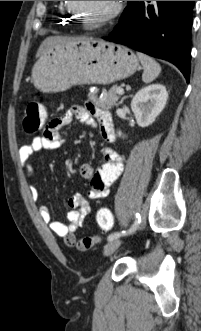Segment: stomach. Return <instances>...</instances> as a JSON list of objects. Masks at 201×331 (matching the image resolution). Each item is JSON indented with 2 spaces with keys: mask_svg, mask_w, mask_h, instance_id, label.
Returning a JSON list of instances; mask_svg holds the SVG:
<instances>
[{
  "mask_svg": "<svg viewBox=\"0 0 201 331\" xmlns=\"http://www.w3.org/2000/svg\"><path fill=\"white\" fill-rule=\"evenodd\" d=\"M139 60L122 45L84 38L54 45L32 69L34 86L45 93L67 90L73 85L111 84L136 72Z\"/></svg>",
  "mask_w": 201,
  "mask_h": 331,
  "instance_id": "0dacf381",
  "label": "stomach"
}]
</instances>
